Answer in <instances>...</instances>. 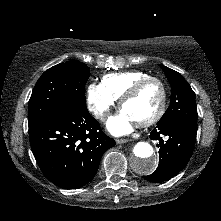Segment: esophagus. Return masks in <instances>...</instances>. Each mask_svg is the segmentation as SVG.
<instances>
[{"label":"esophagus","instance_id":"1","mask_svg":"<svg viewBox=\"0 0 221 221\" xmlns=\"http://www.w3.org/2000/svg\"><path fill=\"white\" fill-rule=\"evenodd\" d=\"M128 141H129V139H125V138L116 139V143L117 144H124V143H126Z\"/></svg>","mask_w":221,"mask_h":221}]
</instances>
